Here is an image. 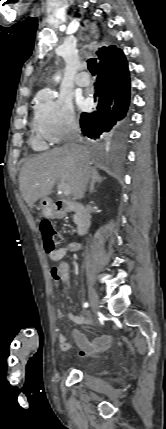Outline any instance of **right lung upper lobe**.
Here are the masks:
<instances>
[{"label": "right lung upper lobe", "mask_w": 166, "mask_h": 429, "mask_svg": "<svg viewBox=\"0 0 166 429\" xmlns=\"http://www.w3.org/2000/svg\"><path fill=\"white\" fill-rule=\"evenodd\" d=\"M120 49L117 48L114 45H110L108 47H102L101 49H99L96 54L98 56V60H101L103 58H108V57H112L114 55H116L117 53H119Z\"/></svg>", "instance_id": "1"}]
</instances>
